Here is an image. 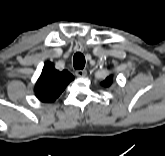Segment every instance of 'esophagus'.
<instances>
[{"label": "esophagus", "mask_w": 165, "mask_h": 156, "mask_svg": "<svg viewBox=\"0 0 165 156\" xmlns=\"http://www.w3.org/2000/svg\"><path fill=\"white\" fill-rule=\"evenodd\" d=\"M75 74L77 77L81 78V77H85L87 75V71L79 69V70H76Z\"/></svg>", "instance_id": "1"}]
</instances>
